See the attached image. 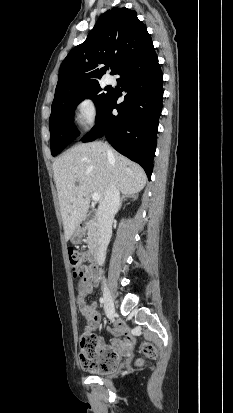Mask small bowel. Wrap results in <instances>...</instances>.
<instances>
[{
	"label": "small bowel",
	"mask_w": 233,
	"mask_h": 413,
	"mask_svg": "<svg viewBox=\"0 0 233 413\" xmlns=\"http://www.w3.org/2000/svg\"><path fill=\"white\" fill-rule=\"evenodd\" d=\"M96 283L97 280L95 278H92L86 285L79 283L78 295L76 297L78 311L92 328H97L99 326L101 322V313L99 312L96 303L93 302L88 304L85 298L92 293ZM123 335L126 337L120 341L118 338ZM111 337V345H106L102 339L99 340L101 351L104 352L105 350L110 349L119 356V354H126L130 350L133 341L127 334V328L124 324L115 322L114 328L111 331Z\"/></svg>",
	"instance_id": "1"
}]
</instances>
